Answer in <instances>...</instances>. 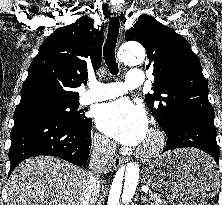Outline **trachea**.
<instances>
[{
	"label": "trachea",
	"instance_id": "3493384b",
	"mask_svg": "<svg viewBox=\"0 0 222 205\" xmlns=\"http://www.w3.org/2000/svg\"><path fill=\"white\" fill-rule=\"evenodd\" d=\"M120 22L117 18H113L109 22L107 39L103 48V56L105 63L112 75H117L119 72L118 63L116 62L115 49L119 34Z\"/></svg>",
	"mask_w": 222,
	"mask_h": 205
}]
</instances>
